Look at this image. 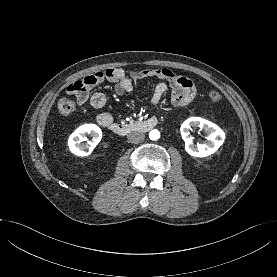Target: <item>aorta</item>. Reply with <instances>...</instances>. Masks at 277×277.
Masks as SVG:
<instances>
[{"mask_svg":"<svg viewBox=\"0 0 277 277\" xmlns=\"http://www.w3.org/2000/svg\"><path fill=\"white\" fill-rule=\"evenodd\" d=\"M149 138L151 140H158L160 138V132L156 129L150 131Z\"/></svg>","mask_w":277,"mask_h":277,"instance_id":"1","label":"aorta"}]
</instances>
